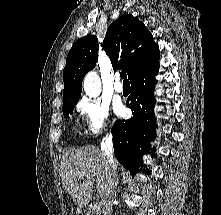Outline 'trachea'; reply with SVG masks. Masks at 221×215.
I'll list each match as a JSON object with an SVG mask.
<instances>
[{
  "instance_id": "obj_1",
  "label": "trachea",
  "mask_w": 221,
  "mask_h": 215,
  "mask_svg": "<svg viewBox=\"0 0 221 215\" xmlns=\"http://www.w3.org/2000/svg\"><path fill=\"white\" fill-rule=\"evenodd\" d=\"M120 77L123 79V82H124V83H129V81H128V79H127V74H126L125 71H122V72L120 73Z\"/></svg>"
}]
</instances>
